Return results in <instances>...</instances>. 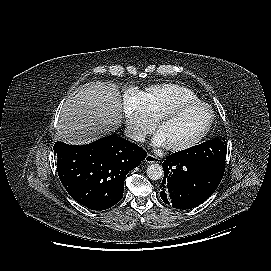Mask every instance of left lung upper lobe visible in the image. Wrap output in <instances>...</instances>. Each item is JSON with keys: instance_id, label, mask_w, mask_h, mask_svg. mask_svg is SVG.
I'll return each mask as SVG.
<instances>
[{"instance_id": "1", "label": "left lung upper lobe", "mask_w": 271, "mask_h": 271, "mask_svg": "<svg viewBox=\"0 0 271 271\" xmlns=\"http://www.w3.org/2000/svg\"><path fill=\"white\" fill-rule=\"evenodd\" d=\"M227 144L225 139L215 138L177 152L182 157L193 158L221 173L225 171Z\"/></svg>"}]
</instances>
